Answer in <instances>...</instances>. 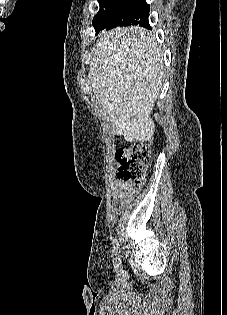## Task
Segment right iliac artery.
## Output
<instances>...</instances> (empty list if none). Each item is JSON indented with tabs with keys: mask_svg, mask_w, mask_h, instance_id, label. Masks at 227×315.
I'll return each instance as SVG.
<instances>
[{
	"mask_svg": "<svg viewBox=\"0 0 227 315\" xmlns=\"http://www.w3.org/2000/svg\"><path fill=\"white\" fill-rule=\"evenodd\" d=\"M113 244H114V249L118 250L119 244H118V242H117V239H114V240H113Z\"/></svg>",
	"mask_w": 227,
	"mask_h": 315,
	"instance_id": "1",
	"label": "right iliac artery"
}]
</instances>
